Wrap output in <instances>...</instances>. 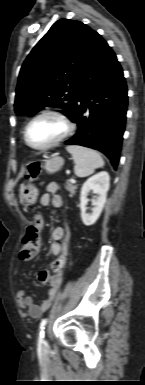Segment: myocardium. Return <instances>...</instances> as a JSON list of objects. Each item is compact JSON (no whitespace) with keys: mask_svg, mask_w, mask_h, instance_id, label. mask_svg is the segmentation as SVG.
<instances>
[{"mask_svg":"<svg viewBox=\"0 0 145 385\" xmlns=\"http://www.w3.org/2000/svg\"><path fill=\"white\" fill-rule=\"evenodd\" d=\"M44 116H53V117H56L59 120H61L63 122V124L65 125V131L59 138H57L56 140H54L53 142H51L47 145L34 146L30 143V141L28 139V131H29V128L33 122H35L37 119L44 117ZM74 131H75V124L66 113H64L58 109H45V110L40 111L36 115H34L27 122V124L24 128L23 136H24V141L28 147H30L33 150L43 151V150H48V149L62 143L63 141L68 139L74 133Z\"/></svg>","mask_w":145,"mask_h":385,"instance_id":"f54148a6","label":"myocardium"}]
</instances>
